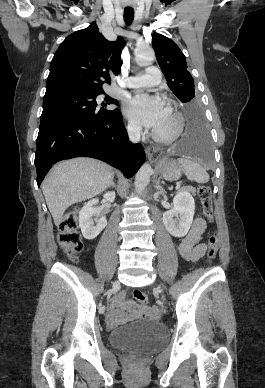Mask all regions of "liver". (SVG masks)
Here are the masks:
<instances>
[{
	"label": "liver",
	"instance_id": "liver-1",
	"mask_svg": "<svg viewBox=\"0 0 265 388\" xmlns=\"http://www.w3.org/2000/svg\"><path fill=\"white\" fill-rule=\"evenodd\" d=\"M113 178L111 166L92 158H74L53 166L42 182V192L55 226H60L69 206L102 194Z\"/></svg>",
	"mask_w": 265,
	"mask_h": 388
}]
</instances>
